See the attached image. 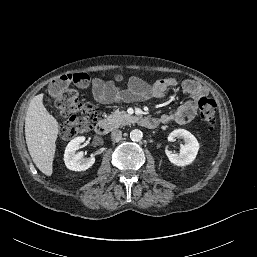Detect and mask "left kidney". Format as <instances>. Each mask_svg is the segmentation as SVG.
Here are the masks:
<instances>
[{
	"label": "left kidney",
	"mask_w": 257,
	"mask_h": 257,
	"mask_svg": "<svg viewBox=\"0 0 257 257\" xmlns=\"http://www.w3.org/2000/svg\"><path fill=\"white\" fill-rule=\"evenodd\" d=\"M175 138L183 139L185 144L181 146L180 153L174 154L166 150L169 161L176 166H186L191 164L198 153L200 144L197 139L189 131L185 129H176L168 136V141L173 142Z\"/></svg>",
	"instance_id": "left-kidney-1"
}]
</instances>
